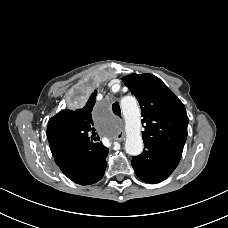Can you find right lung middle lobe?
I'll list each match as a JSON object with an SVG mask.
<instances>
[{
    "mask_svg": "<svg viewBox=\"0 0 228 228\" xmlns=\"http://www.w3.org/2000/svg\"><path fill=\"white\" fill-rule=\"evenodd\" d=\"M85 95H86L85 93L81 94V95L78 97L77 102L82 103V102L84 101V99H85Z\"/></svg>",
    "mask_w": 228,
    "mask_h": 228,
    "instance_id": "right-lung-middle-lobe-1",
    "label": "right lung middle lobe"
}]
</instances>
